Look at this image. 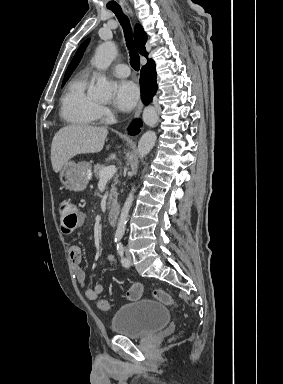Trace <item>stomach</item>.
Segmentation results:
<instances>
[{"label":"stomach","mask_w":283,"mask_h":384,"mask_svg":"<svg viewBox=\"0 0 283 384\" xmlns=\"http://www.w3.org/2000/svg\"><path fill=\"white\" fill-rule=\"evenodd\" d=\"M92 178V166L89 162H66L60 170V182L70 192H83Z\"/></svg>","instance_id":"1"}]
</instances>
